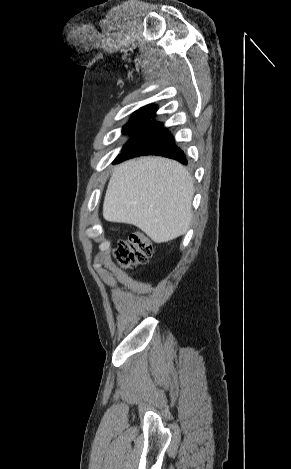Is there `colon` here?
I'll return each instance as SVG.
<instances>
[{
	"mask_svg": "<svg viewBox=\"0 0 291 469\" xmlns=\"http://www.w3.org/2000/svg\"><path fill=\"white\" fill-rule=\"evenodd\" d=\"M153 253V245L142 232H135L118 242L114 256L125 268H133L148 262Z\"/></svg>",
	"mask_w": 291,
	"mask_h": 469,
	"instance_id": "5ec220e1",
	"label": "colon"
}]
</instances>
